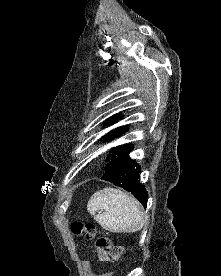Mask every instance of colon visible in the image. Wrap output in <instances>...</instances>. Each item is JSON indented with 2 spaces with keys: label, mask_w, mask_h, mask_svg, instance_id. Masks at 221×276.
<instances>
[{
  "label": "colon",
  "mask_w": 221,
  "mask_h": 276,
  "mask_svg": "<svg viewBox=\"0 0 221 276\" xmlns=\"http://www.w3.org/2000/svg\"><path fill=\"white\" fill-rule=\"evenodd\" d=\"M71 230L78 237H85L89 240H95L96 246L100 250H104L112 261L120 259L122 247L114 244L106 236H98L96 226L91 222L75 221L71 224Z\"/></svg>",
  "instance_id": "1"
}]
</instances>
